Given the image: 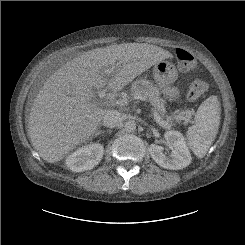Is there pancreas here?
Instances as JSON below:
<instances>
[{
    "label": "pancreas",
    "instance_id": "1",
    "mask_svg": "<svg viewBox=\"0 0 245 245\" xmlns=\"http://www.w3.org/2000/svg\"><path fill=\"white\" fill-rule=\"evenodd\" d=\"M131 94H142L144 95L148 101L151 103V105L154 107V109L161 114L163 117L165 115V109L164 104L165 100L160 97V91L157 86L153 85L152 82L146 80V79H139L132 83L131 85ZM192 112L189 110L186 111H180L174 116L168 117L166 116V120L170 126L173 125L172 120H175L176 122L184 121V123H188L191 119Z\"/></svg>",
    "mask_w": 245,
    "mask_h": 245
}]
</instances>
